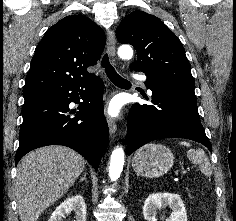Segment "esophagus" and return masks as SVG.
I'll return each instance as SVG.
<instances>
[{
  "mask_svg": "<svg viewBox=\"0 0 236 221\" xmlns=\"http://www.w3.org/2000/svg\"><path fill=\"white\" fill-rule=\"evenodd\" d=\"M107 50L109 55L113 58L116 52V38L114 31L110 30L107 34ZM108 127L111 135H114L117 130L116 121L113 118H108Z\"/></svg>",
  "mask_w": 236,
  "mask_h": 221,
  "instance_id": "obj_1",
  "label": "esophagus"
}]
</instances>
